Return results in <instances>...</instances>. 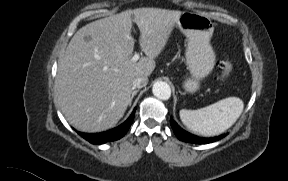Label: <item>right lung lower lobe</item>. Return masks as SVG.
<instances>
[{"label":"right lung lower lobe","instance_id":"right-lung-lower-lobe-1","mask_svg":"<svg viewBox=\"0 0 288 181\" xmlns=\"http://www.w3.org/2000/svg\"><path fill=\"white\" fill-rule=\"evenodd\" d=\"M135 111L136 108L133 110L132 114L128 117V119L124 123L111 130L94 134L78 132V134L92 144H104L107 142L118 140L125 136L130 126L132 125L135 116L134 115Z\"/></svg>","mask_w":288,"mask_h":181}]
</instances>
